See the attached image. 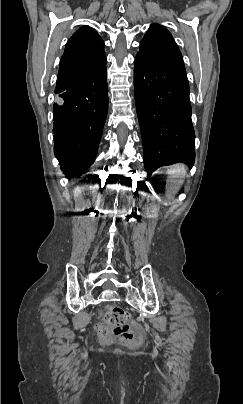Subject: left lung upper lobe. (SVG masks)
Wrapping results in <instances>:
<instances>
[{
  "instance_id": "obj_1",
  "label": "left lung upper lobe",
  "mask_w": 243,
  "mask_h": 404,
  "mask_svg": "<svg viewBox=\"0 0 243 404\" xmlns=\"http://www.w3.org/2000/svg\"><path fill=\"white\" fill-rule=\"evenodd\" d=\"M140 55L154 64L185 71L181 52L171 36L163 26L152 24L140 43Z\"/></svg>"
}]
</instances>
